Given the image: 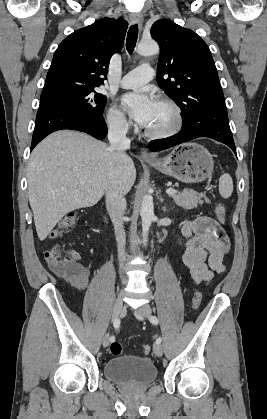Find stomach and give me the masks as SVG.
I'll return each instance as SVG.
<instances>
[{"mask_svg":"<svg viewBox=\"0 0 267 419\" xmlns=\"http://www.w3.org/2000/svg\"><path fill=\"white\" fill-rule=\"evenodd\" d=\"M146 162L161 173L184 183L202 182L211 175L214 168L210 152L194 142L175 147L162 159Z\"/></svg>","mask_w":267,"mask_h":419,"instance_id":"0dacf381","label":"stomach"}]
</instances>
